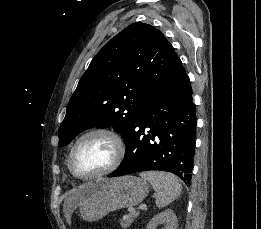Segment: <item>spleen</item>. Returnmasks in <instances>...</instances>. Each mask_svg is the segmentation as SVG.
I'll list each match as a JSON object with an SVG mask.
<instances>
[{
    "mask_svg": "<svg viewBox=\"0 0 261 229\" xmlns=\"http://www.w3.org/2000/svg\"><path fill=\"white\" fill-rule=\"evenodd\" d=\"M140 177L151 183L154 191L157 193L155 199L156 207H167L179 197L182 191V185L175 175L165 173V171H146L140 173Z\"/></svg>",
    "mask_w": 261,
    "mask_h": 229,
    "instance_id": "3e777b00",
    "label": "spleen"
}]
</instances>
